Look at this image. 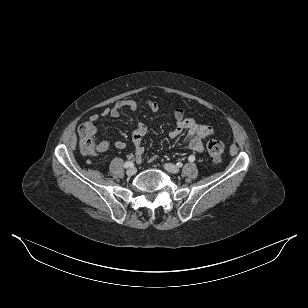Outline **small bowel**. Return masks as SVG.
Listing matches in <instances>:
<instances>
[{"instance_id":"1","label":"small bowel","mask_w":308,"mask_h":308,"mask_svg":"<svg viewBox=\"0 0 308 308\" xmlns=\"http://www.w3.org/2000/svg\"><path fill=\"white\" fill-rule=\"evenodd\" d=\"M148 105L153 112L158 111V105L155 102L148 101ZM138 105L136 101L132 99H124L117 102L112 108H106L102 112V116H106L112 119H116L120 116V110L123 108L135 111ZM176 125L169 132V138L175 139L180 136L183 132H187V137H189V148L194 153H202L205 149V141L210 138L214 131L209 125L198 124L192 118H185L181 111H176L174 114ZM92 120L97 122L98 115H93ZM148 127L144 123H138L137 127L132 131L131 139L135 147V156L138 162L143 160L151 161L154 156L149 155L144 147L143 140L148 134ZM115 147L117 149H125L127 143L125 141H116ZM110 148V142L108 140H102L99 142L97 150L95 153L106 152ZM94 153V154H95Z\"/></svg>"}]
</instances>
